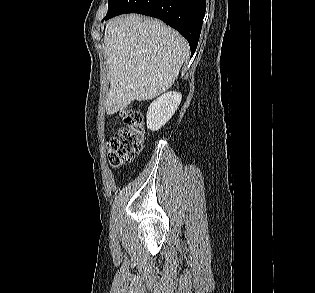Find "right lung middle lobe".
<instances>
[{
	"instance_id": "1",
	"label": "right lung middle lobe",
	"mask_w": 315,
	"mask_h": 293,
	"mask_svg": "<svg viewBox=\"0 0 315 293\" xmlns=\"http://www.w3.org/2000/svg\"><path fill=\"white\" fill-rule=\"evenodd\" d=\"M113 0H108V3L110 4Z\"/></svg>"
}]
</instances>
